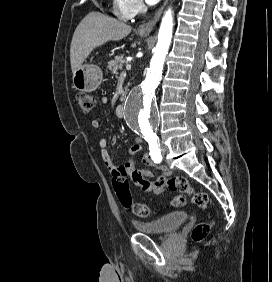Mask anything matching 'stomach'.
Here are the masks:
<instances>
[{"label": "stomach", "mask_w": 272, "mask_h": 282, "mask_svg": "<svg viewBox=\"0 0 272 282\" xmlns=\"http://www.w3.org/2000/svg\"><path fill=\"white\" fill-rule=\"evenodd\" d=\"M102 79L100 67L85 63L73 74V87L79 91L93 92L101 84Z\"/></svg>", "instance_id": "obj_1"}]
</instances>
